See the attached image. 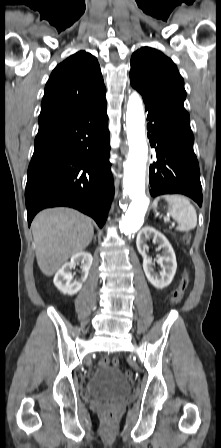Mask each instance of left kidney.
I'll list each match as a JSON object with an SVG mask.
<instances>
[{
    "label": "left kidney",
    "mask_w": 221,
    "mask_h": 448,
    "mask_svg": "<svg viewBox=\"0 0 221 448\" xmlns=\"http://www.w3.org/2000/svg\"><path fill=\"white\" fill-rule=\"evenodd\" d=\"M152 238L154 243H158L163 249V256L158 260L162 270L159 275L154 273L153 263L146 254V241ZM136 245L139 253L143 257V270L148 281L156 288L163 289L167 287L176 273L177 262L174 250L167 238L155 228L145 226L137 235ZM164 263V264H163Z\"/></svg>",
    "instance_id": "1"
}]
</instances>
